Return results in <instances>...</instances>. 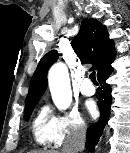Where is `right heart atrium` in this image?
I'll list each match as a JSON object with an SVG mask.
<instances>
[{
	"mask_svg": "<svg viewBox=\"0 0 130 153\" xmlns=\"http://www.w3.org/2000/svg\"><path fill=\"white\" fill-rule=\"evenodd\" d=\"M86 130V123L81 114L72 109L55 117L54 144L61 146L65 141L78 138Z\"/></svg>",
	"mask_w": 130,
	"mask_h": 153,
	"instance_id": "1",
	"label": "right heart atrium"
}]
</instances>
